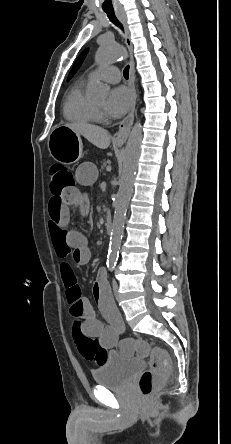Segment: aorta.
I'll list each match as a JSON object with an SVG mask.
<instances>
[{
	"instance_id": "obj_1",
	"label": "aorta",
	"mask_w": 231,
	"mask_h": 444,
	"mask_svg": "<svg viewBox=\"0 0 231 444\" xmlns=\"http://www.w3.org/2000/svg\"><path fill=\"white\" fill-rule=\"evenodd\" d=\"M126 57L125 50L115 41L103 42L96 53V62L99 65H109ZM92 94L97 99H104L108 94V88L101 83H95L91 87ZM142 141V126L137 121L128 138L122 169L119 178V190L116 195L115 212L111 229L110 245L107 264L113 265L118 257V249L121 243L128 204L133 192L135 173L140 155Z\"/></svg>"
}]
</instances>
